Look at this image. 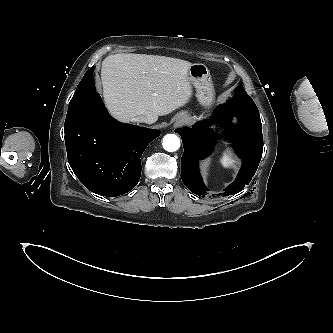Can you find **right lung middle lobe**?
Instances as JSON below:
<instances>
[{"label": "right lung middle lobe", "instance_id": "dd1d6c3e", "mask_svg": "<svg viewBox=\"0 0 333 333\" xmlns=\"http://www.w3.org/2000/svg\"><path fill=\"white\" fill-rule=\"evenodd\" d=\"M94 69H95V67H92L85 73L83 79L80 81L79 85L77 86L76 92H75L74 96L72 97V99L69 103V106L78 102V97L82 94V92L87 87L89 82L93 79L92 73H93Z\"/></svg>", "mask_w": 333, "mask_h": 333}]
</instances>
